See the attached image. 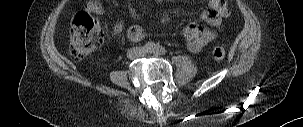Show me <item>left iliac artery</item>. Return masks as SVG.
<instances>
[{
    "mask_svg": "<svg viewBox=\"0 0 303 127\" xmlns=\"http://www.w3.org/2000/svg\"><path fill=\"white\" fill-rule=\"evenodd\" d=\"M146 47L150 53H156V54H160V55H165L167 53V50L164 47H162L160 45H156L153 42H148L146 44Z\"/></svg>",
    "mask_w": 303,
    "mask_h": 127,
    "instance_id": "left-iliac-artery-1",
    "label": "left iliac artery"
}]
</instances>
